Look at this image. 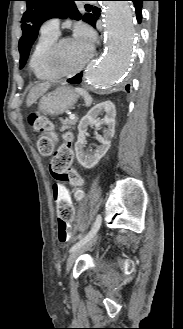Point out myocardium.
Listing matches in <instances>:
<instances>
[{"label": "myocardium", "mask_w": 183, "mask_h": 329, "mask_svg": "<svg viewBox=\"0 0 183 329\" xmlns=\"http://www.w3.org/2000/svg\"><path fill=\"white\" fill-rule=\"evenodd\" d=\"M70 39L71 37L69 36L58 38L49 50L47 56V67L54 78L70 77L78 74L87 66V64L91 61L93 57V52L90 51L86 61L82 63L79 67L70 71H60L57 67V63L60 56L61 46L65 41Z\"/></svg>", "instance_id": "myocardium-1"}]
</instances>
